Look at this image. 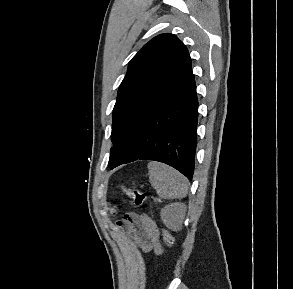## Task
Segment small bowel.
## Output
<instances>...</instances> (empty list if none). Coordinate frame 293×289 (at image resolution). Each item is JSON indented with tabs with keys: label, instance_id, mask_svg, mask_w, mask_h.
Here are the masks:
<instances>
[{
	"label": "small bowel",
	"instance_id": "1",
	"mask_svg": "<svg viewBox=\"0 0 293 289\" xmlns=\"http://www.w3.org/2000/svg\"><path fill=\"white\" fill-rule=\"evenodd\" d=\"M125 233L145 253L162 254L160 232L155 222L146 214L128 213L124 222H119Z\"/></svg>",
	"mask_w": 293,
	"mask_h": 289
}]
</instances>
